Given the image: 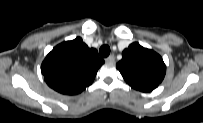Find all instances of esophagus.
I'll use <instances>...</instances> for the list:
<instances>
[{
	"instance_id": "1",
	"label": "esophagus",
	"mask_w": 203,
	"mask_h": 123,
	"mask_svg": "<svg viewBox=\"0 0 203 123\" xmlns=\"http://www.w3.org/2000/svg\"><path fill=\"white\" fill-rule=\"evenodd\" d=\"M106 62H114L115 61V56L114 55H110L105 59Z\"/></svg>"
}]
</instances>
